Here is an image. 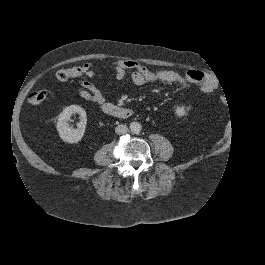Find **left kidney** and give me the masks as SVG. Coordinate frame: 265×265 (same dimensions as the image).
<instances>
[{
  "instance_id": "obj_1",
  "label": "left kidney",
  "mask_w": 265,
  "mask_h": 265,
  "mask_svg": "<svg viewBox=\"0 0 265 265\" xmlns=\"http://www.w3.org/2000/svg\"><path fill=\"white\" fill-rule=\"evenodd\" d=\"M172 112L175 117L182 118L188 114L187 107L184 105H175L172 108Z\"/></svg>"
}]
</instances>
